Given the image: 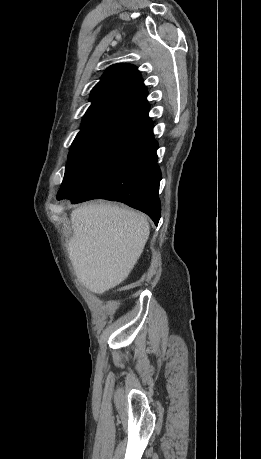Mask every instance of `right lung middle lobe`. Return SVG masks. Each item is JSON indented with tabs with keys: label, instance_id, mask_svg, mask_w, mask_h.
<instances>
[{
	"label": "right lung middle lobe",
	"instance_id": "obj_1",
	"mask_svg": "<svg viewBox=\"0 0 261 459\" xmlns=\"http://www.w3.org/2000/svg\"><path fill=\"white\" fill-rule=\"evenodd\" d=\"M150 126H111L76 137L57 199L81 195L151 134Z\"/></svg>",
	"mask_w": 261,
	"mask_h": 459
}]
</instances>
